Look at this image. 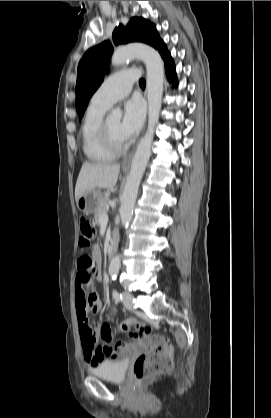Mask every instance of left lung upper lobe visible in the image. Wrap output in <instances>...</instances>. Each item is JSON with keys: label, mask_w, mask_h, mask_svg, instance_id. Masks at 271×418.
<instances>
[{"label": "left lung upper lobe", "mask_w": 271, "mask_h": 418, "mask_svg": "<svg viewBox=\"0 0 271 418\" xmlns=\"http://www.w3.org/2000/svg\"><path fill=\"white\" fill-rule=\"evenodd\" d=\"M113 42H143L159 49L163 41L160 39L156 27L144 18L133 17L126 28L118 26L113 32ZM113 52L109 41L90 48L82 57L78 65L76 83V110L81 118L88 105L89 99L104 79L108 69V60Z\"/></svg>", "instance_id": "obj_1"}]
</instances>
